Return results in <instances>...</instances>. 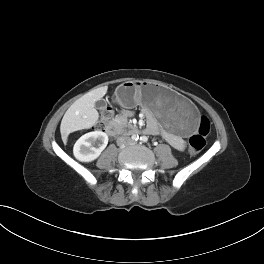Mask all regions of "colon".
<instances>
[{
	"instance_id": "1",
	"label": "colon",
	"mask_w": 264,
	"mask_h": 264,
	"mask_svg": "<svg viewBox=\"0 0 264 264\" xmlns=\"http://www.w3.org/2000/svg\"><path fill=\"white\" fill-rule=\"evenodd\" d=\"M113 111L110 106L102 109L100 123L104 124L112 119ZM210 131V121L206 116H201L198 122L197 131L190 138V151L193 154L200 152L206 145V137Z\"/></svg>"
}]
</instances>
